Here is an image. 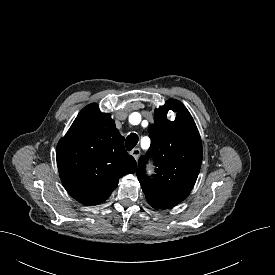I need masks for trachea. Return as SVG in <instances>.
<instances>
[{
  "label": "trachea",
  "instance_id": "trachea-1",
  "mask_svg": "<svg viewBox=\"0 0 275 275\" xmlns=\"http://www.w3.org/2000/svg\"><path fill=\"white\" fill-rule=\"evenodd\" d=\"M138 139V135L135 133H131L130 135H128L125 141L126 149L128 151H131L137 145Z\"/></svg>",
  "mask_w": 275,
  "mask_h": 275
}]
</instances>
